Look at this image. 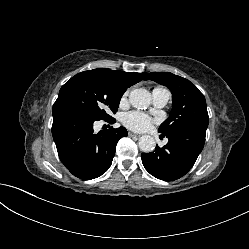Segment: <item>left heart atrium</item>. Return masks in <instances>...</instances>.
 <instances>
[{
	"label": "left heart atrium",
	"mask_w": 249,
	"mask_h": 249,
	"mask_svg": "<svg viewBox=\"0 0 249 249\" xmlns=\"http://www.w3.org/2000/svg\"><path fill=\"white\" fill-rule=\"evenodd\" d=\"M123 123L127 128L131 130L143 131L151 126L152 120L144 113L132 111L124 115Z\"/></svg>",
	"instance_id": "1"
}]
</instances>
